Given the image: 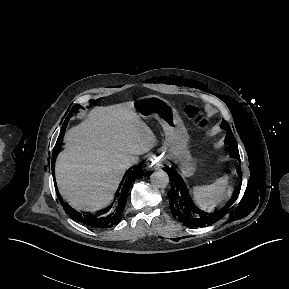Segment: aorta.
I'll use <instances>...</instances> for the list:
<instances>
[{"instance_id":"762f6f07","label":"aorta","mask_w":289,"mask_h":289,"mask_svg":"<svg viewBox=\"0 0 289 289\" xmlns=\"http://www.w3.org/2000/svg\"><path fill=\"white\" fill-rule=\"evenodd\" d=\"M150 181L157 188H165L169 184V176L164 170L158 169L151 174Z\"/></svg>"}]
</instances>
